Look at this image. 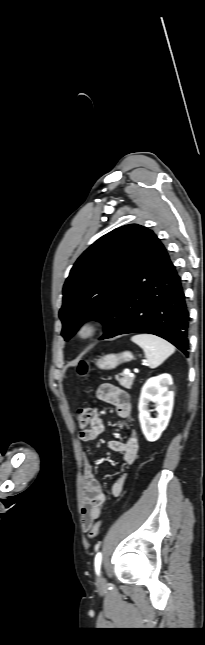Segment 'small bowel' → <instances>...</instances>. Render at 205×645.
<instances>
[{"mask_svg": "<svg viewBox=\"0 0 205 645\" xmlns=\"http://www.w3.org/2000/svg\"><path fill=\"white\" fill-rule=\"evenodd\" d=\"M98 400L108 403L115 407L116 413L121 419H128L131 414V404L128 394L109 383L101 384L96 392ZM104 431V423L97 410L94 409L93 418L90 426L79 433V437L84 442H92L96 440ZM109 448L122 454L123 462L125 465H132L138 455L139 438L138 433L134 427L129 426L127 429L126 440H110L108 442ZM84 493L83 505L81 508L82 527L88 531L93 522L98 519L104 511V503L106 495L102 489L100 482L94 475L93 465L87 455H84ZM128 478L127 471H122L116 477L111 486V494L118 497L124 490L125 483Z\"/></svg>", "mask_w": 205, "mask_h": 645, "instance_id": "c3829d8e", "label": "small bowel"}]
</instances>
